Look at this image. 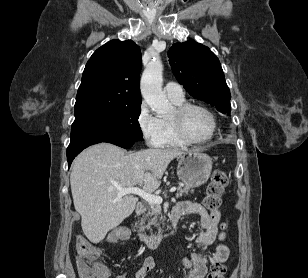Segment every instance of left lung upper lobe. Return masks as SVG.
I'll return each instance as SVG.
<instances>
[{
  "label": "left lung upper lobe",
  "mask_w": 308,
  "mask_h": 278,
  "mask_svg": "<svg viewBox=\"0 0 308 278\" xmlns=\"http://www.w3.org/2000/svg\"><path fill=\"white\" fill-rule=\"evenodd\" d=\"M168 57L174 76L191 96L230 115V90L217 56L208 47L188 40L172 45Z\"/></svg>",
  "instance_id": "5c2ea615"
}]
</instances>
